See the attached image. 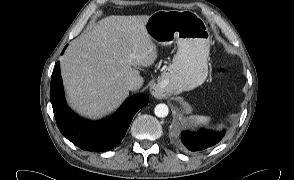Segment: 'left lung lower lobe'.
<instances>
[{"label": "left lung lower lobe", "mask_w": 294, "mask_h": 180, "mask_svg": "<svg viewBox=\"0 0 294 180\" xmlns=\"http://www.w3.org/2000/svg\"><path fill=\"white\" fill-rule=\"evenodd\" d=\"M224 132L200 131L198 133L183 132L182 143L190 151H200L217 144Z\"/></svg>", "instance_id": "left-lung-lower-lobe-1"}]
</instances>
